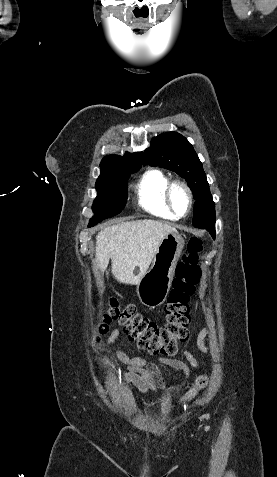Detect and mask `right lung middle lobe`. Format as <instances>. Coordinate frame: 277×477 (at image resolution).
<instances>
[{"label":"right lung middle lobe","mask_w":277,"mask_h":477,"mask_svg":"<svg viewBox=\"0 0 277 477\" xmlns=\"http://www.w3.org/2000/svg\"><path fill=\"white\" fill-rule=\"evenodd\" d=\"M139 169H111L101 172L96 181L97 197L92 209L95 215L89 227L96 225L103 219L119 214L127 200V180L130 174Z\"/></svg>","instance_id":"right-lung-middle-lobe-1"}]
</instances>
